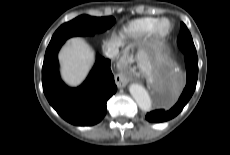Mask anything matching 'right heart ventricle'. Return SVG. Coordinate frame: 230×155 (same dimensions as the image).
Instances as JSON below:
<instances>
[{"instance_id":"e07e8e85","label":"right heart ventricle","mask_w":230,"mask_h":155,"mask_svg":"<svg viewBox=\"0 0 230 155\" xmlns=\"http://www.w3.org/2000/svg\"><path fill=\"white\" fill-rule=\"evenodd\" d=\"M158 18L156 17H143L132 20L123 27L122 33L130 38H139L148 35L152 32Z\"/></svg>"}]
</instances>
